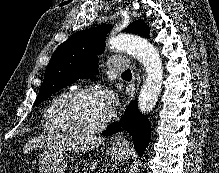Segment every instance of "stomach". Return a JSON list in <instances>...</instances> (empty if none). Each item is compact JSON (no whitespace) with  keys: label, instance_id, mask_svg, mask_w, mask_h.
I'll list each match as a JSON object with an SVG mask.
<instances>
[{"label":"stomach","instance_id":"obj_1","mask_svg":"<svg viewBox=\"0 0 219 173\" xmlns=\"http://www.w3.org/2000/svg\"><path fill=\"white\" fill-rule=\"evenodd\" d=\"M109 153L116 164H124L130 159V152L124 145L113 144ZM38 166L40 173H65L67 167L65 151L61 148H45L39 155Z\"/></svg>","mask_w":219,"mask_h":173}]
</instances>
